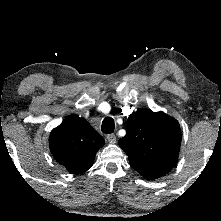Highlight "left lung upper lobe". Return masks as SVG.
<instances>
[{
  "label": "left lung upper lobe",
  "instance_id": "5c2ea615",
  "mask_svg": "<svg viewBox=\"0 0 221 221\" xmlns=\"http://www.w3.org/2000/svg\"><path fill=\"white\" fill-rule=\"evenodd\" d=\"M126 135L119 146L130 165L147 179L159 178L176 165L181 130L177 120L163 112L139 109L126 122Z\"/></svg>",
  "mask_w": 221,
  "mask_h": 221
}]
</instances>
